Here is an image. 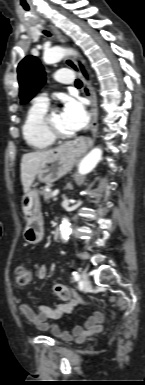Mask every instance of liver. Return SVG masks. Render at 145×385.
I'll use <instances>...</instances> for the list:
<instances>
[{"label": "liver", "mask_w": 145, "mask_h": 385, "mask_svg": "<svg viewBox=\"0 0 145 385\" xmlns=\"http://www.w3.org/2000/svg\"><path fill=\"white\" fill-rule=\"evenodd\" d=\"M56 149L35 151L26 153L21 159V182L23 185L24 193L30 190V187L37 175V172L41 164L45 159L55 151Z\"/></svg>", "instance_id": "6515ba94"}]
</instances>
